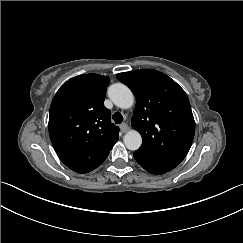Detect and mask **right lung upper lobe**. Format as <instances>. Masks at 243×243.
<instances>
[{
  "mask_svg": "<svg viewBox=\"0 0 243 243\" xmlns=\"http://www.w3.org/2000/svg\"><path fill=\"white\" fill-rule=\"evenodd\" d=\"M107 76L84 74L65 82L50 106L49 135L61 161L77 173L97 168L118 140L104 107Z\"/></svg>",
  "mask_w": 243,
  "mask_h": 243,
  "instance_id": "obj_1",
  "label": "right lung upper lobe"
}]
</instances>
